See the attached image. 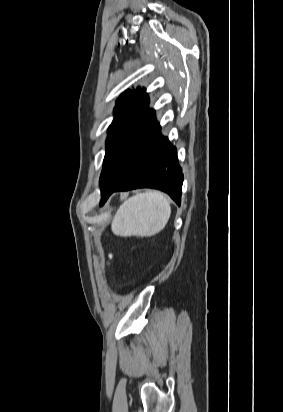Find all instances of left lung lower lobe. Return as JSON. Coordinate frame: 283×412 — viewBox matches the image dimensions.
<instances>
[{
    "instance_id": "0a47b994",
    "label": "left lung lower lobe",
    "mask_w": 283,
    "mask_h": 412,
    "mask_svg": "<svg viewBox=\"0 0 283 412\" xmlns=\"http://www.w3.org/2000/svg\"><path fill=\"white\" fill-rule=\"evenodd\" d=\"M127 167V160L123 162L120 158H104L100 176L101 206L113 192L144 187L164 191L180 205L182 169L178 164L176 148L161 135L159 125L143 158L131 174L125 177Z\"/></svg>"
}]
</instances>
